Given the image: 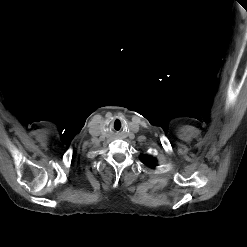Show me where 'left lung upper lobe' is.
<instances>
[{
	"mask_svg": "<svg viewBox=\"0 0 247 247\" xmlns=\"http://www.w3.org/2000/svg\"><path fill=\"white\" fill-rule=\"evenodd\" d=\"M143 163L147 166H150V167H154V164L156 162V160L152 157H149V156H145L143 157Z\"/></svg>",
	"mask_w": 247,
	"mask_h": 247,
	"instance_id": "obj_1",
	"label": "left lung upper lobe"
}]
</instances>
